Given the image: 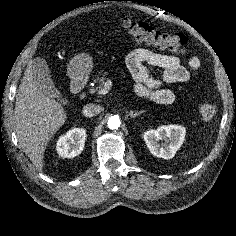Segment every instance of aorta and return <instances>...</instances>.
I'll use <instances>...</instances> for the list:
<instances>
[{
    "label": "aorta",
    "mask_w": 236,
    "mask_h": 236,
    "mask_svg": "<svg viewBox=\"0 0 236 236\" xmlns=\"http://www.w3.org/2000/svg\"><path fill=\"white\" fill-rule=\"evenodd\" d=\"M120 119L118 116H111L108 120V127L109 129H118L120 127Z\"/></svg>",
    "instance_id": "obj_1"
}]
</instances>
